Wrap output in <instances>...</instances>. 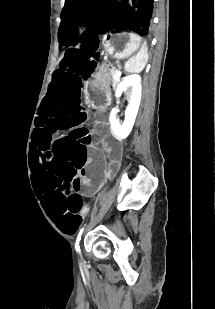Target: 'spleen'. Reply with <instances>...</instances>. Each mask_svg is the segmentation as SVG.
<instances>
[{
  "label": "spleen",
  "instance_id": "spleen-1",
  "mask_svg": "<svg viewBox=\"0 0 215 309\" xmlns=\"http://www.w3.org/2000/svg\"><path fill=\"white\" fill-rule=\"evenodd\" d=\"M146 62H148V46L147 42H143L139 52L125 62L124 68L127 72H141Z\"/></svg>",
  "mask_w": 215,
  "mask_h": 309
}]
</instances>
